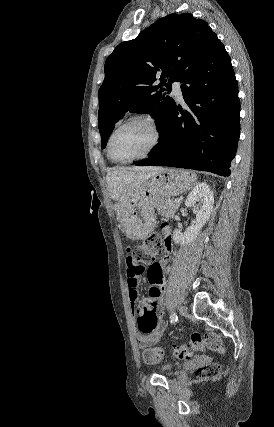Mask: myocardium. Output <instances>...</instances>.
Listing matches in <instances>:
<instances>
[{"label": "myocardium", "mask_w": 274, "mask_h": 427, "mask_svg": "<svg viewBox=\"0 0 274 427\" xmlns=\"http://www.w3.org/2000/svg\"><path fill=\"white\" fill-rule=\"evenodd\" d=\"M136 121H144L150 125V127L152 128V130L154 132V141L151 144V146L144 153H142L136 157H133L131 159H128V160L120 159L113 153V150H112L113 137L119 129H121L122 127H124L130 123L136 122ZM162 139H163V133H162V130H161L160 126L158 125L157 121L149 114L139 113V114H135V115L127 118L126 120L122 121L113 129V131L111 132V134L109 135V138H108L107 152H108L109 157L113 161L120 163V164H128V163H132L135 161H139V160H143V159L148 158L160 146Z\"/></svg>", "instance_id": "obj_1"}]
</instances>
